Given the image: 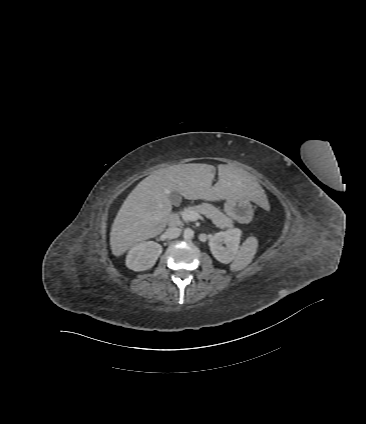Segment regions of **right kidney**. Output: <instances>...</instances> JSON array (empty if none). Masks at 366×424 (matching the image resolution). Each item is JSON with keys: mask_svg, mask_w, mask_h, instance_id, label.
<instances>
[{"mask_svg": "<svg viewBox=\"0 0 366 424\" xmlns=\"http://www.w3.org/2000/svg\"><path fill=\"white\" fill-rule=\"evenodd\" d=\"M162 253V246L153 241H145L131 248L126 256V266L134 271L152 268Z\"/></svg>", "mask_w": 366, "mask_h": 424, "instance_id": "1", "label": "right kidney"}]
</instances>
